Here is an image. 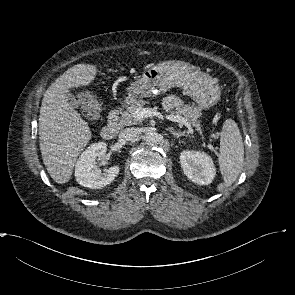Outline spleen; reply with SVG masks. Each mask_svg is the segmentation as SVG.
<instances>
[{
    "label": "spleen",
    "instance_id": "3e777b00",
    "mask_svg": "<svg viewBox=\"0 0 295 295\" xmlns=\"http://www.w3.org/2000/svg\"><path fill=\"white\" fill-rule=\"evenodd\" d=\"M218 161L224 186H231L242 171L244 146L240 130L232 119H227L220 134Z\"/></svg>",
    "mask_w": 295,
    "mask_h": 295
}]
</instances>
